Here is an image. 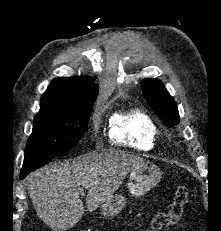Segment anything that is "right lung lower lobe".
Listing matches in <instances>:
<instances>
[{
  "label": "right lung lower lobe",
  "instance_id": "98d812e1",
  "mask_svg": "<svg viewBox=\"0 0 221 231\" xmlns=\"http://www.w3.org/2000/svg\"><path fill=\"white\" fill-rule=\"evenodd\" d=\"M50 161H51V160L42 162V163L37 164V165H35V166H33V167H30V168H22V170H21V172H20V179H21V180L24 179V177H25L27 174H29L30 172H32V171L38 169L39 167H41V166H43V165L49 163Z\"/></svg>",
  "mask_w": 221,
  "mask_h": 231
}]
</instances>
